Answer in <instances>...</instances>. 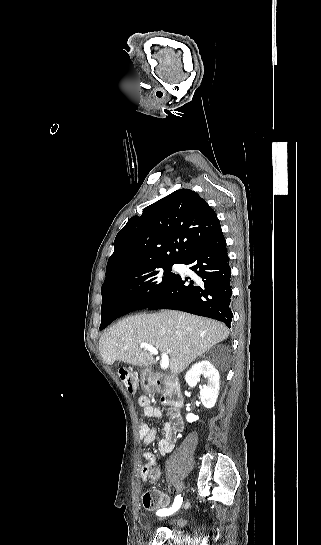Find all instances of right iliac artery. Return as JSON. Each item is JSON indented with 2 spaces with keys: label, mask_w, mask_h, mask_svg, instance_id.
<instances>
[{
  "label": "right iliac artery",
  "mask_w": 321,
  "mask_h": 545,
  "mask_svg": "<svg viewBox=\"0 0 321 545\" xmlns=\"http://www.w3.org/2000/svg\"><path fill=\"white\" fill-rule=\"evenodd\" d=\"M181 503H182L181 496L180 495L176 496L174 505L170 509L159 511L158 514L160 515L172 514L179 509V507L181 506Z\"/></svg>",
  "instance_id": "1"
}]
</instances>
